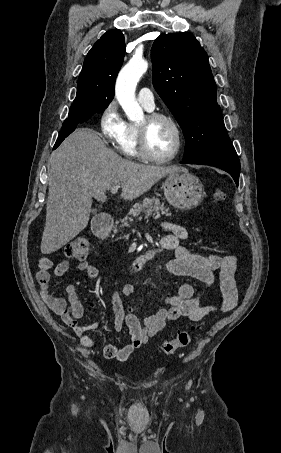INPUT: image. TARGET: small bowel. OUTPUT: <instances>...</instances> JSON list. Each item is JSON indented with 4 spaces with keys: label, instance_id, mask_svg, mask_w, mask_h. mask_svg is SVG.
Masks as SVG:
<instances>
[{
    "label": "small bowel",
    "instance_id": "obj_1",
    "mask_svg": "<svg viewBox=\"0 0 281 453\" xmlns=\"http://www.w3.org/2000/svg\"><path fill=\"white\" fill-rule=\"evenodd\" d=\"M163 229L170 232L174 237H165L160 244H154L156 251L175 252L176 259L166 262L163 270L174 277H194L203 285V289L195 292L193 287L182 285L178 292L167 299L168 307L149 315L143 322H140L133 313V307L126 304L122 296L132 295L134 288L131 284H124L121 287L122 294L118 291L111 292V303L114 314L113 328L121 331L125 327L130 332L128 343L123 346L108 344L104 347V354L107 359L125 361L129 356L142 346L148 339L162 330L166 324L181 317H187L193 322H199L214 310L212 306L201 304L204 293L220 285L223 301L219 310L222 313L232 311L238 301L236 286L237 257L234 255L197 254L190 252L182 242L189 237L187 229L175 223H163ZM53 267L52 260L43 256L39 262V269L36 273L41 295L51 311L61 317L64 322L73 328L74 333L80 340L81 345L86 349L97 346V341L86 334L87 331H96L100 328L99 322H94L84 327L79 325V320L84 313V306L78 298L77 286L74 283L65 285L66 300L53 297L50 291V268ZM69 269V261H59L54 269L53 275L56 278L63 277ZM220 269L218 279L216 270ZM79 271L87 273L89 279L98 277V270L95 265L81 263Z\"/></svg>",
    "mask_w": 281,
    "mask_h": 453
}]
</instances>
